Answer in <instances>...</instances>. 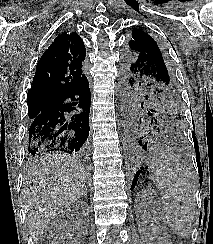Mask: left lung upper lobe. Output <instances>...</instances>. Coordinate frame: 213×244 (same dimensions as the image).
<instances>
[{
  "label": "left lung upper lobe",
  "instance_id": "5c2ea615",
  "mask_svg": "<svg viewBox=\"0 0 213 244\" xmlns=\"http://www.w3.org/2000/svg\"><path fill=\"white\" fill-rule=\"evenodd\" d=\"M125 106L148 121H153L166 137L185 132V117L180 89L173 66L156 41L135 28L122 64Z\"/></svg>",
  "mask_w": 213,
  "mask_h": 244
}]
</instances>
